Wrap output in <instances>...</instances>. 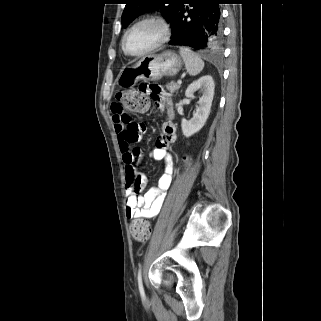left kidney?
<instances>
[{"label": "left kidney", "mask_w": 321, "mask_h": 321, "mask_svg": "<svg viewBox=\"0 0 321 321\" xmlns=\"http://www.w3.org/2000/svg\"><path fill=\"white\" fill-rule=\"evenodd\" d=\"M214 88L215 85L212 76L205 75L199 78L197 81L191 83L186 89L185 96L188 98L193 97L197 90L202 92V96L198 102L199 107H197L192 119L187 121L183 118L181 121L182 132L185 137L194 135L204 126L210 114L214 96Z\"/></svg>", "instance_id": "left-kidney-1"}]
</instances>
